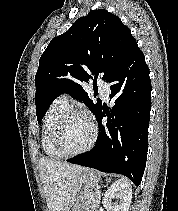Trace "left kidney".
I'll return each mask as SVG.
<instances>
[{"label":"left kidney","instance_id":"1","mask_svg":"<svg viewBox=\"0 0 178 211\" xmlns=\"http://www.w3.org/2000/svg\"><path fill=\"white\" fill-rule=\"evenodd\" d=\"M118 198L119 204L112 202ZM132 199V187L129 181L125 178L114 182L105 192L102 204L105 208H110V211H128Z\"/></svg>","mask_w":178,"mask_h":211}]
</instances>
